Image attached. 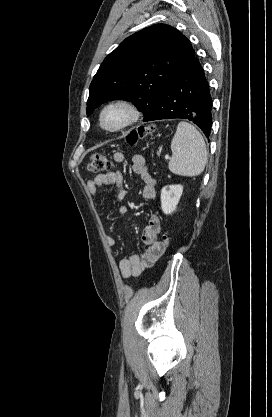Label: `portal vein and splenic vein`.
Listing matches in <instances>:
<instances>
[{"instance_id": "18ae733b", "label": "portal vein and splenic vein", "mask_w": 272, "mask_h": 417, "mask_svg": "<svg viewBox=\"0 0 272 417\" xmlns=\"http://www.w3.org/2000/svg\"><path fill=\"white\" fill-rule=\"evenodd\" d=\"M165 159H170V156L169 155H165Z\"/></svg>"}]
</instances>
